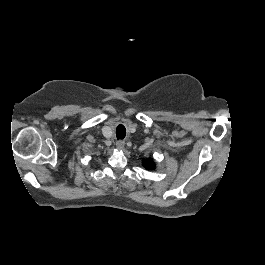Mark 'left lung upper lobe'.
Wrapping results in <instances>:
<instances>
[{"instance_id":"1","label":"left lung upper lobe","mask_w":265,"mask_h":265,"mask_svg":"<svg viewBox=\"0 0 265 265\" xmlns=\"http://www.w3.org/2000/svg\"><path fill=\"white\" fill-rule=\"evenodd\" d=\"M143 165L147 169L154 168V162H153V160L151 158L143 160Z\"/></svg>"}]
</instances>
